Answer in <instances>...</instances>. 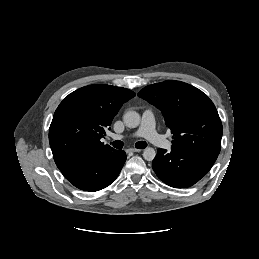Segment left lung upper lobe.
I'll return each mask as SVG.
<instances>
[{"label": "left lung upper lobe", "mask_w": 259, "mask_h": 259, "mask_svg": "<svg viewBox=\"0 0 259 259\" xmlns=\"http://www.w3.org/2000/svg\"><path fill=\"white\" fill-rule=\"evenodd\" d=\"M138 96L162 112L173 133V149L219 154L222 123L213 102L201 90L181 81H164L146 86Z\"/></svg>", "instance_id": "left-lung-upper-lobe-1"}]
</instances>
